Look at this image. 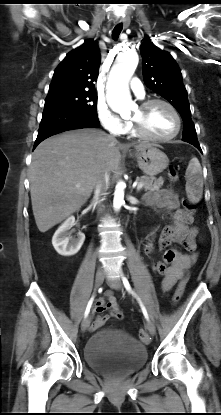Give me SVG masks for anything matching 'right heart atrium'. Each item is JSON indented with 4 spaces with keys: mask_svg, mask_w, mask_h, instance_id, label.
I'll list each match as a JSON object with an SVG mask.
<instances>
[{
    "mask_svg": "<svg viewBox=\"0 0 221 415\" xmlns=\"http://www.w3.org/2000/svg\"><path fill=\"white\" fill-rule=\"evenodd\" d=\"M96 110L100 124L109 134L121 136L128 131L129 122L114 113L106 102L98 101Z\"/></svg>",
    "mask_w": 221,
    "mask_h": 415,
    "instance_id": "obj_1",
    "label": "right heart atrium"
}]
</instances>
